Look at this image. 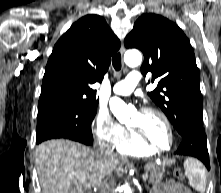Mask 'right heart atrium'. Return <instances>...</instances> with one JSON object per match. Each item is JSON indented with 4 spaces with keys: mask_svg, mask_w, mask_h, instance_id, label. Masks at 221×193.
I'll use <instances>...</instances> for the list:
<instances>
[{
    "mask_svg": "<svg viewBox=\"0 0 221 193\" xmlns=\"http://www.w3.org/2000/svg\"><path fill=\"white\" fill-rule=\"evenodd\" d=\"M93 132L97 140L108 146H115L126 134V129L106 110H99L93 121Z\"/></svg>",
    "mask_w": 221,
    "mask_h": 193,
    "instance_id": "d8ad5b80",
    "label": "right heart atrium"
}]
</instances>
